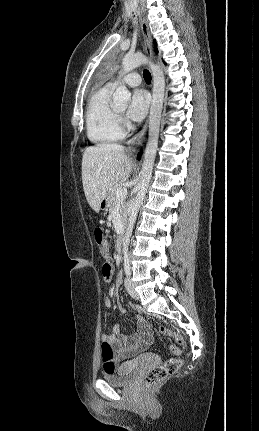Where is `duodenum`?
Segmentation results:
<instances>
[{"label":"duodenum","mask_w":259,"mask_h":431,"mask_svg":"<svg viewBox=\"0 0 259 431\" xmlns=\"http://www.w3.org/2000/svg\"><path fill=\"white\" fill-rule=\"evenodd\" d=\"M115 248L118 252H121L123 249V235L122 232L119 233L117 240H116V244H115Z\"/></svg>","instance_id":"duodenum-1"}]
</instances>
